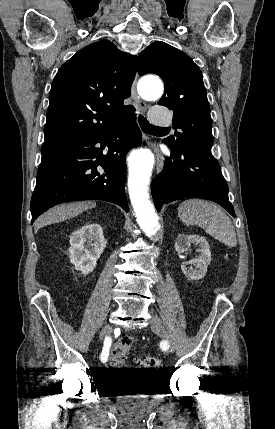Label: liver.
<instances>
[{
	"label": "liver",
	"mask_w": 275,
	"mask_h": 429,
	"mask_svg": "<svg viewBox=\"0 0 275 429\" xmlns=\"http://www.w3.org/2000/svg\"><path fill=\"white\" fill-rule=\"evenodd\" d=\"M95 206L94 203H72L66 205H60L52 208L45 214H43L35 223V229L38 230L42 226H46L55 222H59L65 220L66 218H70L76 216L83 212L84 210Z\"/></svg>",
	"instance_id": "liver-1"
}]
</instances>
